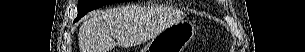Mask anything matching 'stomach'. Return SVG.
I'll return each mask as SVG.
<instances>
[{"instance_id":"1","label":"stomach","mask_w":305,"mask_h":52,"mask_svg":"<svg viewBox=\"0 0 305 52\" xmlns=\"http://www.w3.org/2000/svg\"><path fill=\"white\" fill-rule=\"evenodd\" d=\"M195 33L196 28L191 22H177L150 39L142 52H183Z\"/></svg>"}]
</instances>
